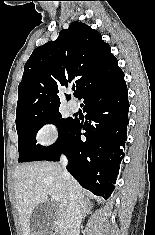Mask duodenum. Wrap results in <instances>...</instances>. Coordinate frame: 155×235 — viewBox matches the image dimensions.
I'll list each match as a JSON object with an SVG mask.
<instances>
[{"label":"duodenum","instance_id":"1","mask_svg":"<svg viewBox=\"0 0 155 235\" xmlns=\"http://www.w3.org/2000/svg\"><path fill=\"white\" fill-rule=\"evenodd\" d=\"M63 229H64L63 224L61 223L57 224L55 230L53 231V235H62V234L67 235V232L64 231Z\"/></svg>","mask_w":155,"mask_h":235}]
</instances>
